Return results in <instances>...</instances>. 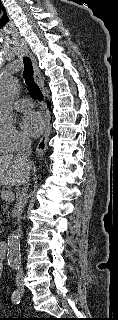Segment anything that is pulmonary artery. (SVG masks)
<instances>
[{
  "instance_id": "e3ab8cb5",
  "label": "pulmonary artery",
  "mask_w": 118,
  "mask_h": 320,
  "mask_svg": "<svg viewBox=\"0 0 118 320\" xmlns=\"http://www.w3.org/2000/svg\"><path fill=\"white\" fill-rule=\"evenodd\" d=\"M33 107V102L30 99H19L15 102V108L18 111H27Z\"/></svg>"
}]
</instances>
